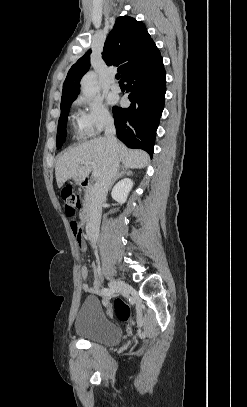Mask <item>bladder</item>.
<instances>
[{
	"label": "bladder",
	"mask_w": 247,
	"mask_h": 407,
	"mask_svg": "<svg viewBox=\"0 0 247 407\" xmlns=\"http://www.w3.org/2000/svg\"><path fill=\"white\" fill-rule=\"evenodd\" d=\"M75 332L84 340L108 347L118 345L122 339L121 328L105 316L100 301L95 297H87L81 304Z\"/></svg>",
	"instance_id": "bladder-1"
}]
</instances>
